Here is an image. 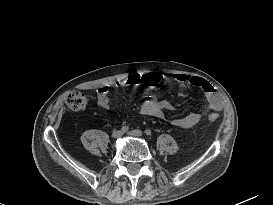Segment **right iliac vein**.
<instances>
[{"label":"right iliac vein","instance_id":"1","mask_svg":"<svg viewBox=\"0 0 273 205\" xmlns=\"http://www.w3.org/2000/svg\"><path fill=\"white\" fill-rule=\"evenodd\" d=\"M122 135H123V132H122L121 130H115V131H113V133H112V137H113L114 139H117V138L121 137Z\"/></svg>","mask_w":273,"mask_h":205}]
</instances>
